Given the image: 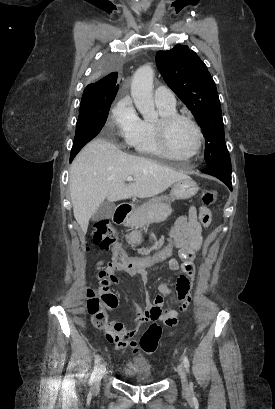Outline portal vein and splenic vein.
<instances>
[{"label":"portal vein and splenic vein","mask_w":275,"mask_h":409,"mask_svg":"<svg viewBox=\"0 0 275 409\" xmlns=\"http://www.w3.org/2000/svg\"><path fill=\"white\" fill-rule=\"evenodd\" d=\"M127 180H133V176H127Z\"/></svg>","instance_id":"18ae733b"}]
</instances>
